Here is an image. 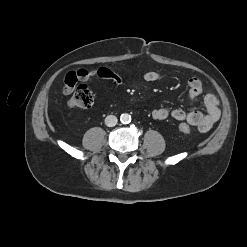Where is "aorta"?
Masks as SVG:
<instances>
[{
    "mask_svg": "<svg viewBox=\"0 0 247 247\" xmlns=\"http://www.w3.org/2000/svg\"><path fill=\"white\" fill-rule=\"evenodd\" d=\"M120 121L123 123V124H128L131 122V115H129L128 113H123L121 114L120 116Z\"/></svg>",
    "mask_w": 247,
    "mask_h": 247,
    "instance_id": "1",
    "label": "aorta"
}]
</instances>
